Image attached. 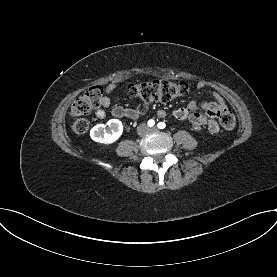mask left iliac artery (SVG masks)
Here are the masks:
<instances>
[{
    "mask_svg": "<svg viewBox=\"0 0 277 277\" xmlns=\"http://www.w3.org/2000/svg\"><path fill=\"white\" fill-rule=\"evenodd\" d=\"M157 126L159 129H164L166 127V124L164 122H159Z\"/></svg>",
    "mask_w": 277,
    "mask_h": 277,
    "instance_id": "left-iliac-artery-1",
    "label": "left iliac artery"
}]
</instances>
